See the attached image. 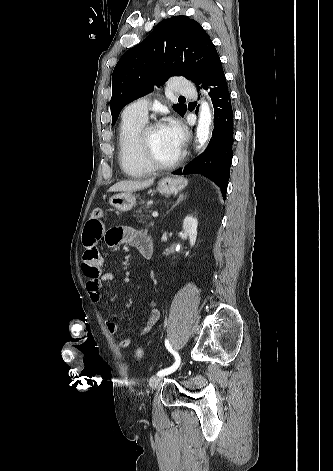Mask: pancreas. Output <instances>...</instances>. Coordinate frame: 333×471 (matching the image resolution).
<instances>
[{
	"label": "pancreas",
	"instance_id": "obj_1",
	"mask_svg": "<svg viewBox=\"0 0 333 471\" xmlns=\"http://www.w3.org/2000/svg\"><path fill=\"white\" fill-rule=\"evenodd\" d=\"M142 204H143V206L136 211L137 212V217L139 218V223H147L146 219H148L149 216L147 218H145V215L143 214V211L144 210L146 211V209L149 208V204L148 203L145 204L144 201H142ZM147 225L149 227H153L154 222H149V223H147Z\"/></svg>",
	"mask_w": 333,
	"mask_h": 471
}]
</instances>
